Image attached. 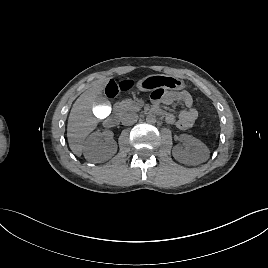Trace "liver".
Returning <instances> with one entry per match:
<instances>
[{
  "label": "liver",
  "mask_w": 268,
  "mask_h": 268,
  "mask_svg": "<svg viewBox=\"0 0 268 268\" xmlns=\"http://www.w3.org/2000/svg\"><path fill=\"white\" fill-rule=\"evenodd\" d=\"M107 79L98 82L82 93L72 106L67 124L69 147L76 156H81L85 138L97 127L98 119L93 114L100 93Z\"/></svg>",
  "instance_id": "1"
}]
</instances>
